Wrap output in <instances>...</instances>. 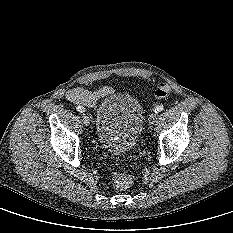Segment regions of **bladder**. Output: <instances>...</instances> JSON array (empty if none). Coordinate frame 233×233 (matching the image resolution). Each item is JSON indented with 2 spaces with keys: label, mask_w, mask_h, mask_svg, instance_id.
<instances>
[{
  "label": "bladder",
  "mask_w": 233,
  "mask_h": 233,
  "mask_svg": "<svg viewBox=\"0 0 233 233\" xmlns=\"http://www.w3.org/2000/svg\"><path fill=\"white\" fill-rule=\"evenodd\" d=\"M143 123L144 111L140 102L127 93L106 96L96 110L98 140L113 154H124L136 145Z\"/></svg>",
  "instance_id": "bladder-1"
}]
</instances>
